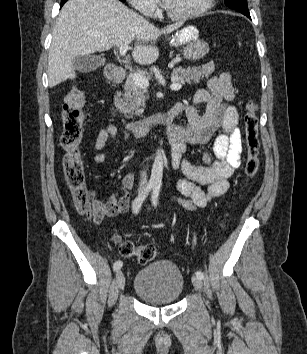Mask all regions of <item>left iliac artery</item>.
I'll list each match as a JSON object with an SVG mask.
<instances>
[{
    "mask_svg": "<svg viewBox=\"0 0 307 354\" xmlns=\"http://www.w3.org/2000/svg\"><path fill=\"white\" fill-rule=\"evenodd\" d=\"M160 184H156L153 188V192H152V195H151V200H152V204L156 207L157 204H158V197H159V193H160ZM196 276L200 279H203L204 278V274L203 272L201 271H197L196 273Z\"/></svg>",
    "mask_w": 307,
    "mask_h": 354,
    "instance_id": "left-iliac-artery-1",
    "label": "left iliac artery"
}]
</instances>
